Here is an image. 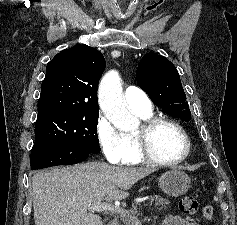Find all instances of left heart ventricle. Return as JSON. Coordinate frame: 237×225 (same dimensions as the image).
Listing matches in <instances>:
<instances>
[{
	"mask_svg": "<svg viewBox=\"0 0 237 225\" xmlns=\"http://www.w3.org/2000/svg\"><path fill=\"white\" fill-rule=\"evenodd\" d=\"M140 127L135 131L138 132ZM151 147L155 155L164 160H175L185 152V141L173 127L162 125L151 136Z\"/></svg>",
	"mask_w": 237,
	"mask_h": 225,
	"instance_id": "obj_1",
	"label": "left heart ventricle"
}]
</instances>
